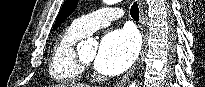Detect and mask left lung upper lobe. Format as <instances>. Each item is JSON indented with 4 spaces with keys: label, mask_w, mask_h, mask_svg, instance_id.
Wrapping results in <instances>:
<instances>
[{
    "label": "left lung upper lobe",
    "mask_w": 205,
    "mask_h": 87,
    "mask_svg": "<svg viewBox=\"0 0 205 87\" xmlns=\"http://www.w3.org/2000/svg\"><path fill=\"white\" fill-rule=\"evenodd\" d=\"M78 0H66L57 16L55 26L53 30H56L58 26L75 10Z\"/></svg>",
    "instance_id": "obj_1"
}]
</instances>
